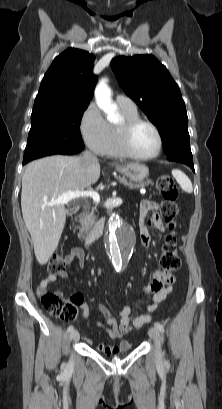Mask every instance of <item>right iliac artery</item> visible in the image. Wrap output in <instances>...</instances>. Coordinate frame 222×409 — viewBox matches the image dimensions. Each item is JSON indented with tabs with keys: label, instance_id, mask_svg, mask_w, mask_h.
<instances>
[{
	"label": "right iliac artery",
	"instance_id": "1",
	"mask_svg": "<svg viewBox=\"0 0 222 409\" xmlns=\"http://www.w3.org/2000/svg\"><path fill=\"white\" fill-rule=\"evenodd\" d=\"M73 330H74V327H73L72 325H70V326L68 327V329H67L68 332H71V331H73Z\"/></svg>",
	"mask_w": 222,
	"mask_h": 409
}]
</instances>
